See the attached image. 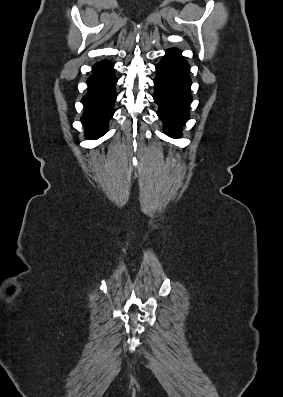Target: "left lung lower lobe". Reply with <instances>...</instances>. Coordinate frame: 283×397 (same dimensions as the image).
Segmentation results:
<instances>
[{"mask_svg":"<svg viewBox=\"0 0 283 397\" xmlns=\"http://www.w3.org/2000/svg\"><path fill=\"white\" fill-rule=\"evenodd\" d=\"M190 66L181 56V51L172 48L156 65L153 98L158 104V117L163 121L164 132L172 138L181 137V126L189 120Z\"/></svg>","mask_w":283,"mask_h":397,"instance_id":"left-lung-lower-lobe-1","label":"left lung lower lobe"}]
</instances>
